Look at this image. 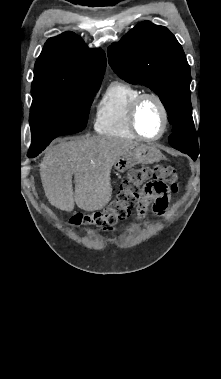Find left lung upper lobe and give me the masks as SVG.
Segmentation results:
<instances>
[{
    "label": "left lung upper lobe",
    "instance_id": "1",
    "mask_svg": "<svg viewBox=\"0 0 221 379\" xmlns=\"http://www.w3.org/2000/svg\"><path fill=\"white\" fill-rule=\"evenodd\" d=\"M108 59L122 79L147 86L159 96L173 126L170 145L196 160L190 66L175 36L166 27L141 22L109 46Z\"/></svg>",
    "mask_w": 221,
    "mask_h": 379
}]
</instances>
